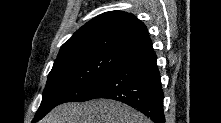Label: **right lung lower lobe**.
I'll use <instances>...</instances> for the list:
<instances>
[{
    "label": "right lung lower lobe",
    "instance_id": "right-lung-lower-lobe-1",
    "mask_svg": "<svg viewBox=\"0 0 221 123\" xmlns=\"http://www.w3.org/2000/svg\"><path fill=\"white\" fill-rule=\"evenodd\" d=\"M95 98L123 102L155 123H164L163 90L153 49L130 56L102 78L89 100Z\"/></svg>",
    "mask_w": 221,
    "mask_h": 123
}]
</instances>
